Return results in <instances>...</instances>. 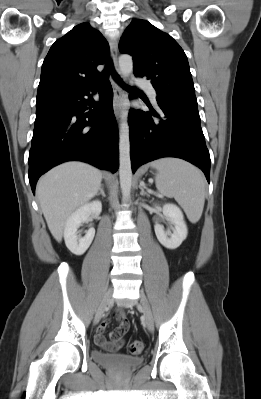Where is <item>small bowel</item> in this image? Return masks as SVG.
<instances>
[{
  "label": "small bowel",
  "mask_w": 261,
  "mask_h": 399,
  "mask_svg": "<svg viewBox=\"0 0 261 399\" xmlns=\"http://www.w3.org/2000/svg\"><path fill=\"white\" fill-rule=\"evenodd\" d=\"M113 317L119 322V326L116 330L109 334V340L105 338V330L108 324L107 320H104L97 328L95 334V343L108 351L119 350L124 345V335L129 328V321L122 311H116Z\"/></svg>",
  "instance_id": "small-bowel-1"
}]
</instances>
